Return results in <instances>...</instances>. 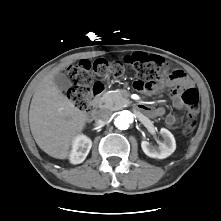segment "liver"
Instances as JSON below:
<instances>
[{"label":"liver","mask_w":221,"mask_h":221,"mask_svg":"<svg viewBox=\"0 0 221 221\" xmlns=\"http://www.w3.org/2000/svg\"><path fill=\"white\" fill-rule=\"evenodd\" d=\"M53 68L39 81L30 104L29 123L37 145L48 155L66 159L84 129L86 112L75 107L54 83L55 74L68 64Z\"/></svg>","instance_id":"liver-1"}]
</instances>
